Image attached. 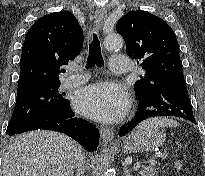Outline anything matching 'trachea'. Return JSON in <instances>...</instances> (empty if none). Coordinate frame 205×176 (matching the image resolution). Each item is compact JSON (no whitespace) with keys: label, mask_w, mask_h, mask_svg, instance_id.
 I'll list each match as a JSON object with an SVG mask.
<instances>
[{"label":"trachea","mask_w":205,"mask_h":176,"mask_svg":"<svg viewBox=\"0 0 205 176\" xmlns=\"http://www.w3.org/2000/svg\"><path fill=\"white\" fill-rule=\"evenodd\" d=\"M104 64L103 57L101 55V47L98 37L93 33V38L89 44V55L87 58L86 68H91L94 65L102 66Z\"/></svg>","instance_id":"trachea-1"}]
</instances>
